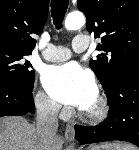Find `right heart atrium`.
<instances>
[{"label": "right heart atrium", "instance_id": "1", "mask_svg": "<svg viewBox=\"0 0 139 150\" xmlns=\"http://www.w3.org/2000/svg\"><path fill=\"white\" fill-rule=\"evenodd\" d=\"M34 102L37 110L46 116H55L57 115L61 107L58 103L52 100L46 93L43 91H38L35 95Z\"/></svg>", "mask_w": 139, "mask_h": 150}]
</instances>
